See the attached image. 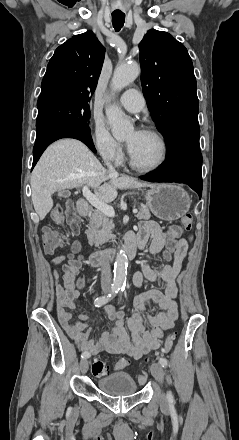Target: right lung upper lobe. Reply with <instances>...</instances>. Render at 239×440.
<instances>
[{"label":"right lung upper lobe","instance_id":"1","mask_svg":"<svg viewBox=\"0 0 239 440\" xmlns=\"http://www.w3.org/2000/svg\"><path fill=\"white\" fill-rule=\"evenodd\" d=\"M105 49L92 31L73 36L50 59L38 102L54 97L90 100L97 86Z\"/></svg>","mask_w":239,"mask_h":440}]
</instances>
